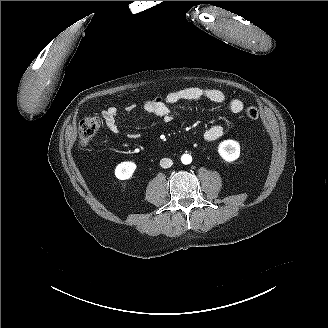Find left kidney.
Instances as JSON below:
<instances>
[{"label":"left kidney","mask_w":328,"mask_h":328,"mask_svg":"<svg viewBox=\"0 0 328 328\" xmlns=\"http://www.w3.org/2000/svg\"><path fill=\"white\" fill-rule=\"evenodd\" d=\"M217 149L220 157L227 163H234L239 158L240 144L235 140H224Z\"/></svg>","instance_id":"1"}]
</instances>
